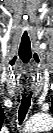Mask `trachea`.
Here are the masks:
<instances>
[{"instance_id":"3493384b","label":"trachea","mask_w":53,"mask_h":133,"mask_svg":"<svg viewBox=\"0 0 53 133\" xmlns=\"http://www.w3.org/2000/svg\"><path fill=\"white\" fill-rule=\"evenodd\" d=\"M31 97H32V93L29 92L27 95L26 94H22V100H21V105L18 111V120H19V124H22V122L25 119V116L28 112V109L31 105Z\"/></svg>"}]
</instances>
